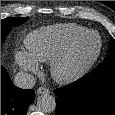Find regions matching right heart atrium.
Returning <instances> with one entry per match:
<instances>
[{
  "label": "right heart atrium",
  "mask_w": 115,
  "mask_h": 115,
  "mask_svg": "<svg viewBox=\"0 0 115 115\" xmlns=\"http://www.w3.org/2000/svg\"><path fill=\"white\" fill-rule=\"evenodd\" d=\"M15 60L17 64L26 71H29L32 73H37L39 71L38 63L25 50H18L15 53Z\"/></svg>",
  "instance_id": "obj_1"
}]
</instances>
